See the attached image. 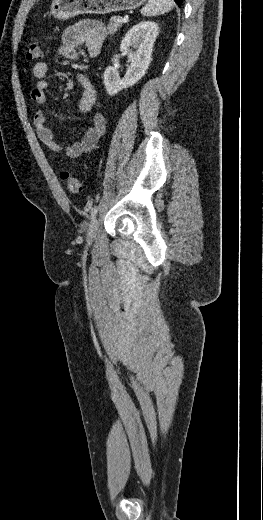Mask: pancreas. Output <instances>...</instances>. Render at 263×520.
<instances>
[{"mask_svg": "<svg viewBox=\"0 0 263 520\" xmlns=\"http://www.w3.org/2000/svg\"><path fill=\"white\" fill-rule=\"evenodd\" d=\"M122 18L119 16L111 17L107 29L110 33H115L122 26Z\"/></svg>", "mask_w": 263, "mask_h": 520, "instance_id": "cf45deb5", "label": "pancreas"}]
</instances>
